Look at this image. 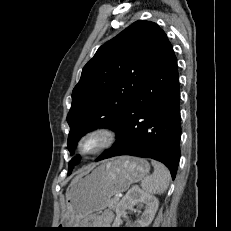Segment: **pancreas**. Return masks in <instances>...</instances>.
<instances>
[{"instance_id": "pancreas-1", "label": "pancreas", "mask_w": 231, "mask_h": 231, "mask_svg": "<svg viewBox=\"0 0 231 231\" xmlns=\"http://www.w3.org/2000/svg\"><path fill=\"white\" fill-rule=\"evenodd\" d=\"M118 202H119V199L112 198L108 203L109 208L115 209L118 205Z\"/></svg>"}]
</instances>
